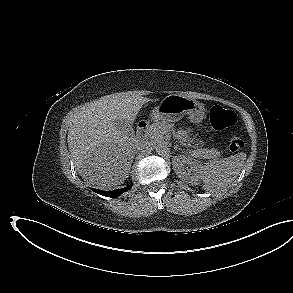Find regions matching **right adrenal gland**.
Listing matches in <instances>:
<instances>
[{
	"label": "right adrenal gland",
	"instance_id": "right-adrenal-gland-1",
	"mask_svg": "<svg viewBox=\"0 0 293 293\" xmlns=\"http://www.w3.org/2000/svg\"><path fill=\"white\" fill-rule=\"evenodd\" d=\"M134 157H135V154L132 156V160H131V162H133Z\"/></svg>",
	"mask_w": 293,
	"mask_h": 293
}]
</instances>
